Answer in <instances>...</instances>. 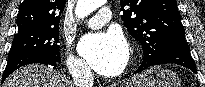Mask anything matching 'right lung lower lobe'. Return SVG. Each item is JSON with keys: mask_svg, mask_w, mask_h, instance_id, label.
I'll return each instance as SVG.
<instances>
[{"mask_svg": "<svg viewBox=\"0 0 205 87\" xmlns=\"http://www.w3.org/2000/svg\"><path fill=\"white\" fill-rule=\"evenodd\" d=\"M31 63H41L45 65H52L54 68L57 67L58 62L37 54L32 53H18L8 55V62L5 71L2 76L3 81L17 68L31 64Z\"/></svg>", "mask_w": 205, "mask_h": 87, "instance_id": "98d812e1", "label": "right lung lower lobe"}]
</instances>
